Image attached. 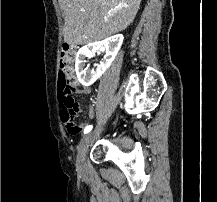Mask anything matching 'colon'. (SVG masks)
Returning <instances> with one entry per match:
<instances>
[{"mask_svg": "<svg viewBox=\"0 0 217 202\" xmlns=\"http://www.w3.org/2000/svg\"><path fill=\"white\" fill-rule=\"evenodd\" d=\"M62 55H60L59 70L57 71V78L61 80L58 82V91L56 102H62L60 106L59 117H65L63 125H66L67 130L72 134H79L82 130V125L75 119V114L78 113V104L74 101L73 95V73L75 72V60L71 59L74 55V47H61Z\"/></svg>", "mask_w": 217, "mask_h": 202, "instance_id": "colon-1", "label": "colon"}]
</instances>
